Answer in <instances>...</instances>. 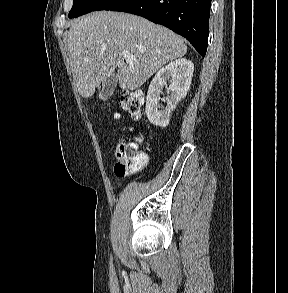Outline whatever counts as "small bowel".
<instances>
[{
    "label": "small bowel",
    "instance_id": "obj_1",
    "mask_svg": "<svg viewBox=\"0 0 288 293\" xmlns=\"http://www.w3.org/2000/svg\"><path fill=\"white\" fill-rule=\"evenodd\" d=\"M114 117H115L116 119H119V118H120L119 113H115ZM123 131L134 132L135 129H134L133 127H124V128H123Z\"/></svg>",
    "mask_w": 288,
    "mask_h": 293
}]
</instances>
